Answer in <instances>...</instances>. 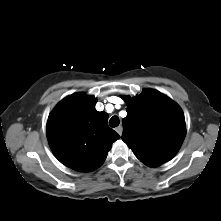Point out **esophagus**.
Segmentation results:
<instances>
[{"instance_id": "obj_1", "label": "esophagus", "mask_w": 221, "mask_h": 221, "mask_svg": "<svg viewBox=\"0 0 221 221\" xmlns=\"http://www.w3.org/2000/svg\"><path fill=\"white\" fill-rule=\"evenodd\" d=\"M117 133L121 136L123 132V127L120 125L116 128Z\"/></svg>"}]
</instances>
